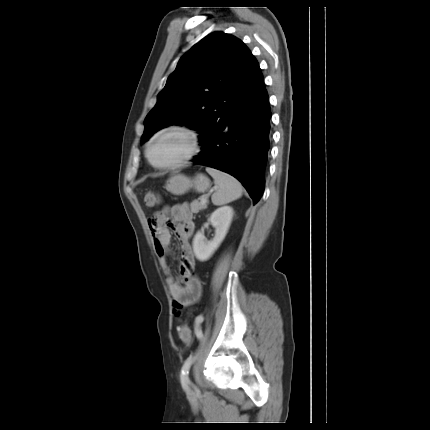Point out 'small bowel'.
I'll list each match as a JSON object with an SVG mask.
<instances>
[{"instance_id":"small-bowel-1","label":"small bowel","mask_w":430,"mask_h":430,"mask_svg":"<svg viewBox=\"0 0 430 430\" xmlns=\"http://www.w3.org/2000/svg\"><path fill=\"white\" fill-rule=\"evenodd\" d=\"M170 227L175 231L180 244L179 279L173 277L168 264V257L171 254L169 249ZM149 228L158 262L167 276L166 283L176 304L180 307L195 304L202 295V284L195 273V260L190 245V238L194 233V223L188 204H176L156 213L149 221ZM202 321L203 317L200 315L195 319L196 324H201ZM184 327H188V325L180 324L177 327L178 333Z\"/></svg>"}]
</instances>
